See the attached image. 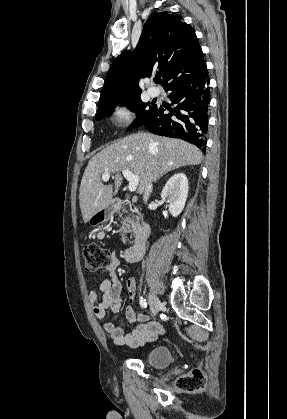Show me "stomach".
<instances>
[{
	"label": "stomach",
	"instance_id": "stomach-1",
	"mask_svg": "<svg viewBox=\"0 0 287 419\" xmlns=\"http://www.w3.org/2000/svg\"><path fill=\"white\" fill-rule=\"evenodd\" d=\"M114 213H115V208L110 203L105 208H103V209L97 211L95 214H93L88 222L92 226H99V225L109 221L110 219H112L113 216H114Z\"/></svg>",
	"mask_w": 287,
	"mask_h": 419
}]
</instances>
